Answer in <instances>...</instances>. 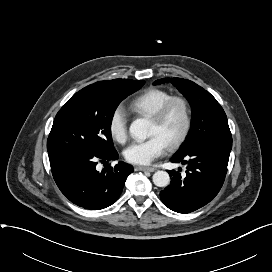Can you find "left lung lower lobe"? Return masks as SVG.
<instances>
[{
  "instance_id": "obj_1",
  "label": "left lung lower lobe",
  "mask_w": 272,
  "mask_h": 272,
  "mask_svg": "<svg viewBox=\"0 0 272 272\" xmlns=\"http://www.w3.org/2000/svg\"><path fill=\"white\" fill-rule=\"evenodd\" d=\"M231 148L232 138L214 139L174 154L171 161L186 164V175L168 171L172 179L160 192L162 202L179 213H190L209 203L223 185Z\"/></svg>"
}]
</instances>
